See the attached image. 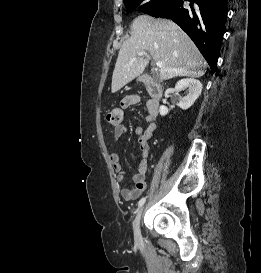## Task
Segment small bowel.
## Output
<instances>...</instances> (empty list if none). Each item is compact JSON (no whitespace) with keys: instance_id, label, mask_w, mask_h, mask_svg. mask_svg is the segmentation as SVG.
Wrapping results in <instances>:
<instances>
[{"instance_id":"c3829d8e","label":"small bowel","mask_w":261,"mask_h":273,"mask_svg":"<svg viewBox=\"0 0 261 273\" xmlns=\"http://www.w3.org/2000/svg\"><path fill=\"white\" fill-rule=\"evenodd\" d=\"M140 101L138 95H130L125 97L121 101L122 108H129L136 105ZM146 121L148 126L143 129L141 127L135 128V134L138 138V146L140 151V162L137 168V172L133 175L132 179L135 183V187L132 189L121 188L120 193L124 200L133 201L138 199L141 194L146 190V175L148 170V156H149V141L154 136L156 130L155 119L157 116V107L153 108L151 105V100H148L146 103ZM127 128L125 125L120 124L114 127L113 130V139L115 142L120 141L124 134L126 133ZM110 160L113 166V170L116 174V180L120 185L125 178L124 167L120 160V155L118 152H114L110 156Z\"/></svg>"}]
</instances>
